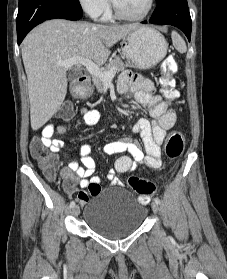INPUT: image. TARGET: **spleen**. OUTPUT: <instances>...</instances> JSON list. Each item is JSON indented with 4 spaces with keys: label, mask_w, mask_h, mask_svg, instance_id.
<instances>
[{
    "label": "spleen",
    "mask_w": 227,
    "mask_h": 279,
    "mask_svg": "<svg viewBox=\"0 0 227 279\" xmlns=\"http://www.w3.org/2000/svg\"><path fill=\"white\" fill-rule=\"evenodd\" d=\"M171 37L176 50L180 53H185L187 51V47L182 37L175 31L171 33Z\"/></svg>",
    "instance_id": "obj_1"
}]
</instances>
